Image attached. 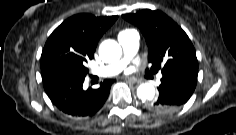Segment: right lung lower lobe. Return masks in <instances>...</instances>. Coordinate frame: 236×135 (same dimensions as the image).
Segmentation results:
<instances>
[{
	"instance_id": "98d812e1",
	"label": "right lung lower lobe",
	"mask_w": 236,
	"mask_h": 135,
	"mask_svg": "<svg viewBox=\"0 0 236 135\" xmlns=\"http://www.w3.org/2000/svg\"><path fill=\"white\" fill-rule=\"evenodd\" d=\"M86 75L42 73L43 86L52 103L63 113L73 117L93 116L108 98L113 79H106L98 89H83Z\"/></svg>"
}]
</instances>
